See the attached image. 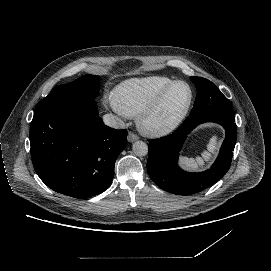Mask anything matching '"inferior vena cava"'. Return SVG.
Instances as JSON below:
<instances>
[{"mask_svg": "<svg viewBox=\"0 0 271 271\" xmlns=\"http://www.w3.org/2000/svg\"><path fill=\"white\" fill-rule=\"evenodd\" d=\"M104 123L114 129H123L125 127L124 122L120 120L114 114H106L103 116Z\"/></svg>", "mask_w": 271, "mask_h": 271, "instance_id": "inferior-vena-cava-1", "label": "inferior vena cava"}]
</instances>
